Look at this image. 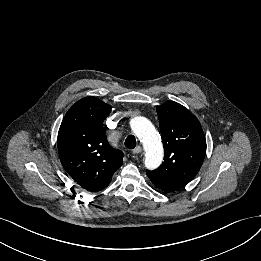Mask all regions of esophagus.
Here are the masks:
<instances>
[{"instance_id":"esophagus-1","label":"esophagus","mask_w":261,"mask_h":261,"mask_svg":"<svg viewBox=\"0 0 261 261\" xmlns=\"http://www.w3.org/2000/svg\"><path fill=\"white\" fill-rule=\"evenodd\" d=\"M141 151H142V147H141V146H137V147H135V148L132 150L133 154H138V153H140Z\"/></svg>"}]
</instances>
